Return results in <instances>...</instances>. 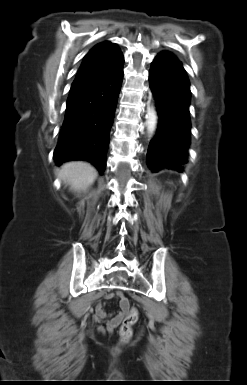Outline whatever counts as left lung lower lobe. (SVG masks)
Listing matches in <instances>:
<instances>
[{
	"label": "left lung lower lobe",
	"mask_w": 247,
	"mask_h": 385,
	"mask_svg": "<svg viewBox=\"0 0 247 385\" xmlns=\"http://www.w3.org/2000/svg\"><path fill=\"white\" fill-rule=\"evenodd\" d=\"M149 85L156 99L159 123L151 141L147 164L152 170L177 168L187 162L191 123L190 84L181 62L170 52H161L152 62Z\"/></svg>",
	"instance_id": "obj_1"
}]
</instances>
